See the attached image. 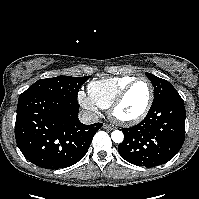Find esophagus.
Wrapping results in <instances>:
<instances>
[{
  "mask_svg": "<svg viewBox=\"0 0 199 199\" xmlns=\"http://www.w3.org/2000/svg\"><path fill=\"white\" fill-rule=\"evenodd\" d=\"M103 128H104V129H107V130H114V129H115L114 126H111V125H109V124H103Z\"/></svg>",
  "mask_w": 199,
  "mask_h": 199,
  "instance_id": "1",
  "label": "esophagus"
}]
</instances>
